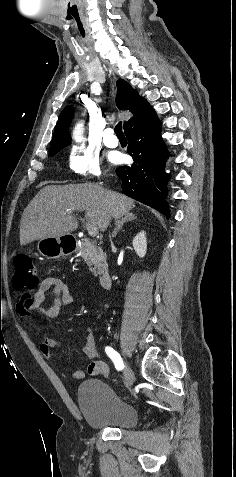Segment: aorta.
<instances>
[{"mask_svg":"<svg viewBox=\"0 0 236 477\" xmlns=\"http://www.w3.org/2000/svg\"><path fill=\"white\" fill-rule=\"evenodd\" d=\"M73 139L76 142H81L83 140V123H78L73 131Z\"/></svg>","mask_w":236,"mask_h":477,"instance_id":"1","label":"aorta"}]
</instances>
